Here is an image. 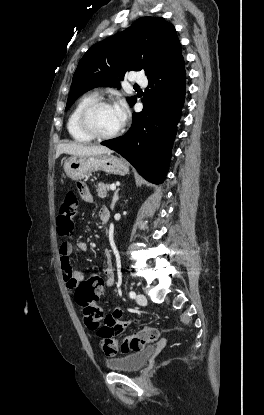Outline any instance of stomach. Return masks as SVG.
Listing matches in <instances>:
<instances>
[{
	"mask_svg": "<svg viewBox=\"0 0 264 415\" xmlns=\"http://www.w3.org/2000/svg\"><path fill=\"white\" fill-rule=\"evenodd\" d=\"M63 168L66 175L75 181L96 171L115 175H126L129 172L127 163L112 154L71 156L64 161Z\"/></svg>",
	"mask_w": 264,
	"mask_h": 415,
	"instance_id": "1",
	"label": "stomach"
}]
</instances>
